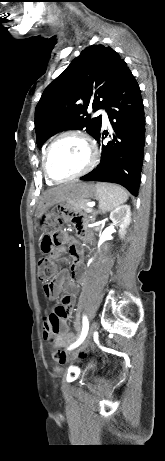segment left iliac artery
Segmentation results:
<instances>
[{
    "instance_id": "left-iliac-artery-1",
    "label": "left iliac artery",
    "mask_w": 165,
    "mask_h": 461,
    "mask_svg": "<svg viewBox=\"0 0 165 461\" xmlns=\"http://www.w3.org/2000/svg\"><path fill=\"white\" fill-rule=\"evenodd\" d=\"M88 328H89V324H88V320L87 318L84 316L83 317V329H82V335L80 337V339L71 346V348H75L77 346H79L82 341L85 339L86 335H87V332H88Z\"/></svg>"
}]
</instances>
